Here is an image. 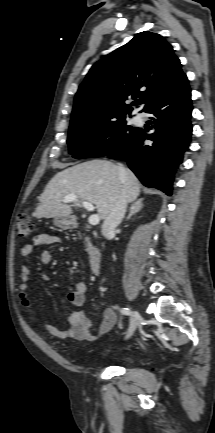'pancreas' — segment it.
Wrapping results in <instances>:
<instances>
[{"label": "pancreas", "mask_w": 215, "mask_h": 433, "mask_svg": "<svg viewBox=\"0 0 215 433\" xmlns=\"http://www.w3.org/2000/svg\"><path fill=\"white\" fill-rule=\"evenodd\" d=\"M85 246L88 253H92L93 251H95V247L91 244L89 238L85 240Z\"/></svg>", "instance_id": "cf45deb5"}]
</instances>
